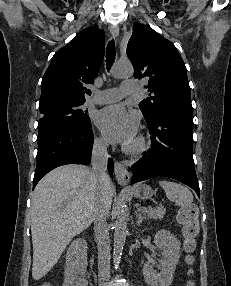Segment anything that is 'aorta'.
<instances>
[{"label":"aorta","instance_id":"1","mask_svg":"<svg viewBox=\"0 0 231 286\" xmlns=\"http://www.w3.org/2000/svg\"><path fill=\"white\" fill-rule=\"evenodd\" d=\"M113 76L116 78L128 77L133 74V66L130 62L117 63L113 68ZM128 206L125 198H121L117 210V219L114 224V248L113 261L115 268L119 266L121 255L127 235Z\"/></svg>","mask_w":231,"mask_h":286}]
</instances>
